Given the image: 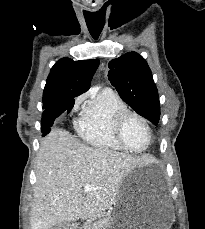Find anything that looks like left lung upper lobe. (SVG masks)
<instances>
[{"instance_id": "left-lung-upper-lobe-1", "label": "left lung upper lobe", "mask_w": 205, "mask_h": 229, "mask_svg": "<svg viewBox=\"0 0 205 229\" xmlns=\"http://www.w3.org/2000/svg\"><path fill=\"white\" fill-rule=\"evenodd\" d=\"M108 78L120 97L139 115L157 125L160 118L158 91L147 62L129 52L109 62Z\"/></svg>"}]
</instances>
